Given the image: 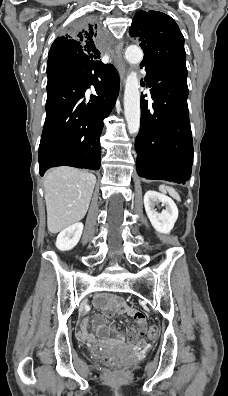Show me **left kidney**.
Here are the masks:
<instances>
[{"instance_id":"1","label":"left kidney","mask_w":228,"mask_h":396,"mask_svg":"<svg viewBox=\"0 0 228 396\" xmlns=\"http://www.w3.org/2000/svg\"><path fill=\"white\" fill-rule=\"evenodd\" d=\"M158 203L165 206L160 213L155 209ZM144 206L154 229L159 233L169 234L178 218V208L174 201L163 194L149 190L144 195Z\"/></svg>"}]
</instances>
